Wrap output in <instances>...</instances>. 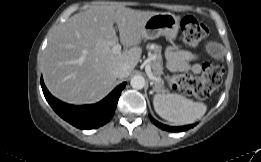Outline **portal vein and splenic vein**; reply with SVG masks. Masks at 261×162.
I'll list each match as a JSON object with an SVG mask.
<instances>
[{"mask_svg":"<svg viewBox=\"0 0 261 162\" xmlns=\"http://www.w3.org/2000/svg\"><path fill=\"white\" fill-rule=\"evenodd\" d=\"M120 51H121V45H120V44H115V45L112 47V52H113V53L117 54V53H120ZM145 71H146V73H147L149 79H151V80H153V81H158V80H159L158 78H156V77L152 74V72H151V66H150L149 62H148V64H147L146 67H145Z\"/></svg>","mask_w":261,"mask_h":162,"instance_id":"obj_1","label":"portal vein and splenic vein"}]
</instances>
